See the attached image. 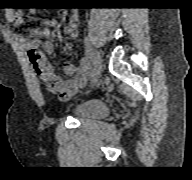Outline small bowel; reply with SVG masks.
Listing matches in <instances>:
<instances>
[{
  "instance_id": "obj_1",
  "label": "small bowel",
  "mask_w": 192,
  "mask_h": 180,
  "mask_svg": "<svg viewBox=\"0 0 192 180\" xmlns=\"http://www.w3.org/2000/svg\"><path fill=\"white\" fill-rule=\"evenodd\" d=\"M22 10L16 11L12 16L14 25H21L24 22ZM57 21L52 19L40 28L30 31V37L22 40L24 48L27 50L29 61L36 74L43 80L45 85L53 91L60 100H68L81 90L87 83L90 74V62L87 58L80 59L77 65L66 63L63 66L68 79L57 76L52 65L47 60L45 54L53 53L55 45L52 38L51 28L55 27ZM80 18L78 13L73 12L64 34L75 38L79 34Z\"/></svg>"
}]
</instances>
